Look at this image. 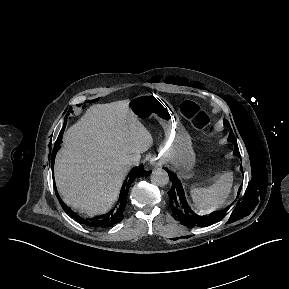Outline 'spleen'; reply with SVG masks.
I'll use <instances>...</instances> for the list:
<instances>
[{"label":"spleen","mask_w":289,"mask_h":289,"mask_svg":"<svg viewBox=\"0 0 289 289\" xmlns=\"http://www.w3.org/2000/svg\"><path fill=\"white\" fill-rule=\"evenodd\" d=\"M232 184L233 173L226 172L209 187H193L190 194L197 209L212 212L225 205L231 193Z\"/></svg>","instance_id":"obj_1"}]
</instances>
